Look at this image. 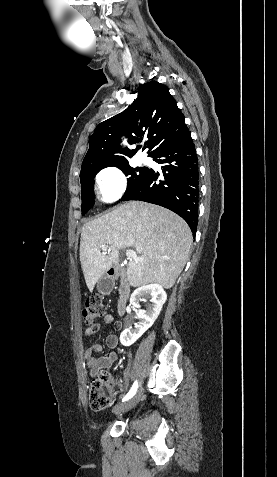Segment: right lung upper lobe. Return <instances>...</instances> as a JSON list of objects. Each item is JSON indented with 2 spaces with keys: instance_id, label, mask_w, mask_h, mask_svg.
<instances>
[{
  "instance_id": "right-lung-upper-lobe-1",
  "label": "right lung upper lobe",
  "mask_w": 277,
  "mask_h": 477,
  "mask_svg": "<svg viewBox=\"0 0 277 477\" xmlns=\"http://www.w3.org/2000/svg\"><path fill=\"white\" fill-rule=\"evenodd\" d=\"M184 115L170 95L167 86L148 82L138 91V97L123 112L101 122L89 139V150L81 170L89 167H108L127 163L124 155L133 156L136 150L122 149L121 137L130 144L146 136L148 156L177 140L186 130Z\"/></svg>"
}]
</instances>
